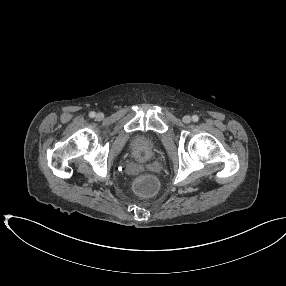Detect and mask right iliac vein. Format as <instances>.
I'll return each instance as SVG.
<instances>
[{
	"label": "right iliac vein",
	"instance_id": "obj_1",
	"mask_svg": "<svg viewBox=\"0 0 286 286\" xmlns=\"http://www.w3.org/2000/svg\"><path fill=\"white\" fill-rule=\"evenodd\" d=\"M103 117V115L101 114V113H99L98 115H97V118L98 119H101Z\"/></svg>",
	"mask_w": 286,
	"mask_h": 286
}]
</instances>
